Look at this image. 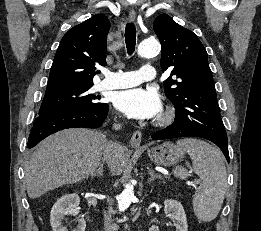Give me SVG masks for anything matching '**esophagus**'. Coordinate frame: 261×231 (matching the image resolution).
<instances>
[{"mask_svg": "<svg viewBox=\"0 0 261 231\" xmlns=\"http://www.w3.org/2000/svg\"><path fill=\"white\" fill-rule=\"evenodd\" d=\"M129 19H130V21H135L136 13H135L134 9H131L129 11ZM141 140H142V133L140 130H136L130 139V144L134 148H140Z\"/></svg>", "mask_w": 261, "mask_h": 231, "instance_id": "34e87169", "label": "esophagus"}]
</instances>
